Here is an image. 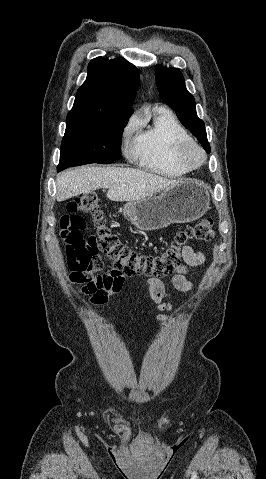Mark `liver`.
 <instances>
[{
  "instance_id": "obj_1",
  "label": "liver",
  "mask_w": 266,
  "mask_h": 479,
  "mask_svg": "<svg viewBox=\"0 0 266 479\" xmlns=\"http://www.w3.org/2000/svg\"><path fill=\"white\" fill-rule=\"evenodd\" d=\"M181 182L132 168L84 166L57 176L56 199L61 202L106 188L107 198L112 201H135L169 190Z\"/></svg>"
}]
</instances>
